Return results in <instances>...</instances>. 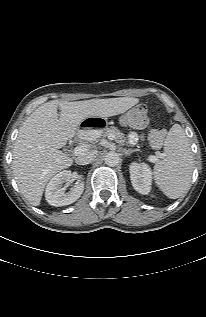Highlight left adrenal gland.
<instances>
[{
    "mask_svg": "<svg viewBox=\"0 0 206 317\" xmlns=\"http://www.w3.org/2000/svg\"><path fill=\"white\" fill-rule=\"evenodd\" d=\"M135 150H127V149H123V152L124 154L127 156V155H130L132 152H134Z\"/></svg>",
    "mask_w": 206,
    "mask_h": 317,
    "instance_id": "1",
    "label": "left adrenal gland"
}]
</instances>
